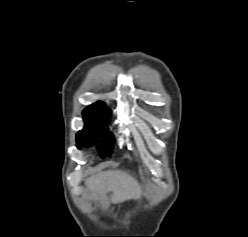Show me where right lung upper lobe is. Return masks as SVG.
<instances>
[{"label": "right lung upper lobe", "instance_id": "obj_1", "mask_svg": "<svg viewBox=\"0 0 248 237\" xmlns=\"http://www.w3.org/2000/svg\"><path fill=\"white\" fill-rule=\"evenodd\" d=\"M84 116L109 119L110 110L103 102H97L84 109Z\"/></svg>", "mask_w": 248, "mask_h": 237}]
</instances>
